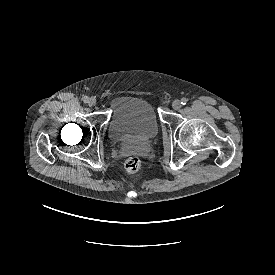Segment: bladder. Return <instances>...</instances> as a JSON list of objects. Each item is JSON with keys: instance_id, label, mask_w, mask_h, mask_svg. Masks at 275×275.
<instances>
[{"instance_id": "bladder-1", "label": "bladder", "mask_w": 275, "mask_h": 275, "mask_svg": "<svg viewBox=\"0 0 275 275\" xmlns=\"http://www.w3.org/2000/svg\"><path fill=\"white\" fill-rule=\"evenodd\" d=\"M158 129L154 108L145 99L122 95L114 100L108 123V134L112 140H147L154 137Z\"/></svg>"}]
</instances>
